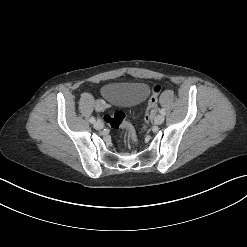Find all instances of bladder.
<instances>
[{"label":"bladder","mask_w":247,"mask_h":247,"mask_svg":"<svg viewBox=\"0 0 247 247\" xmlns=\"http://www.w3.org/2000/svg\"><path fill=\"white\" fill-rule=\"evenodd\" d=\"M101 91L103 97L110 103L130 107L144 101L150 93V88L142 82H112L105 84Z\"/></svg>","instance_id":"bladder-1"}]
</instances>
